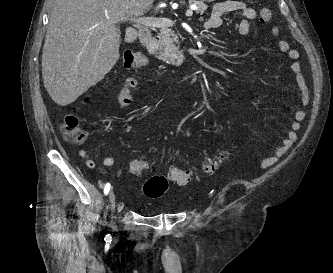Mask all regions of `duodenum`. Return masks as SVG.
I'll return each mask as SVG.
<instances>
[{"label": "duodenum", "instance_id": "duodenum-1", "mask_svg": "<svg viewBox=\"0 0 333 273\" xmlns=\"http://www.w3.org/2000/svg\"><path fill=\"white\" fill-rule=\"evenodd\" d=\"M138 40L141 44L146 45L152 49L154 47L155 39L153 33L149 29H141L138 31Z\"/></svg>", "mask_w": 333, "mask_h": 273}]
</instances>
